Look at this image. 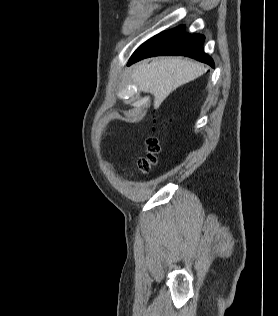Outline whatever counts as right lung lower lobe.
<instances>
[{"instance_id":"obj_1","label":"right lung lower lobe","mask_w":278,"mask_h":316,"mask_svg":"<svg viewBox=\"0 0 278 316\" xmlns=\"http://www.w3.org/2000/svg\"><path fill=\"white\" fill-rule=\"evenodd\" d=\"M183 29L184 26L181 25L152 37L134 52L128 65L151 56L183 55L214 67L213 60L203 51L205 37L199 34H187Z\"/></svg>"}]
</instances>
